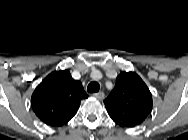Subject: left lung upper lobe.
I'll return each instance as SVG.
<instances>
[{"label": "left lung upper lobe", "instance_id": "left-lung-upper-lobe-1", "mask_svg": "<svg viewBox=\"0 0 188 140\" xmlns=\"http://www.w3.org/2000/svg\"><path fill=\"white\" fill-rule=\"evenodd\" d=\"M104 104L110 118L123 127L140 125L152 110V95L134 72H123Z\"/></svg>", "mask_w": 188, "mask_h": 140}]
</instances>
